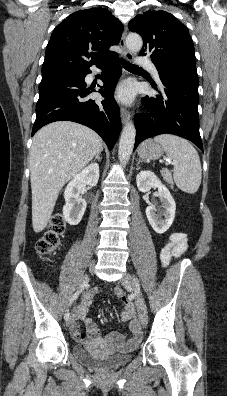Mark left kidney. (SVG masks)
<instances>
[{"label":"left kidney","mask_w":227,"mask_h":396,"mask_svg":"<svg viewBox=\"0 0 227 396\" xmlns=\"http://www.w3.org/2000/svg\"><path fill=\"white\" fill-rule=\"evenodd\" d=\"M136 183L139 191L144 193L149 192L153 187L158 188L159 198L164 209L162 213L164 218L156 214V209L152 205L146 208V216L156 233L162 234L166 232L174 221L176 211V204L170 191L151 171L139 172L136 177Z\"/></svg>","instance_id":"left-kidney-1"}]
</instances>
